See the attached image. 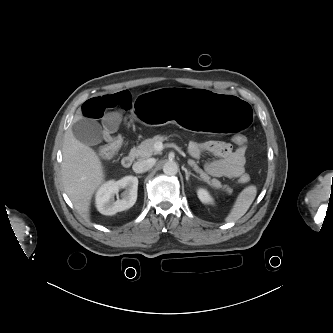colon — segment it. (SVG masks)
Returning a JSON list of instances; mask_svg holds the SVG:
<instances>
[{"instance_id": "obj_1", "label": "colon", "mask_w": 333, "mask_h": 333, "mask_svg": "<svg viewBox=\"0 0 333 333\" xmlns=\"http://www.w3.org/2000/svg\"><path fill=\"white\" fill-rule=\"evenodd\" d=\"M106 139L107 143L98 149V154L103 159L112 158L122 145V138L120 136L107 135ZM232 139L238 146H243L247 143V138L242 134H235ZM239 181L242 184H246L250 181V176L248 174H243L239 178Z\"/></svg>"}]
</instances>
